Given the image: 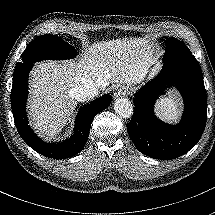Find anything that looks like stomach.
I'll use <instances>...</instances> for the list:
<instances>
[{
    "mask_svg": "<svg viewBox=\"0 0 215 215\" xmlns=\"http://www.w3.org/2000/svg\"><path fill=\"white\" fill-rule=\"evenodd\" d=\"M150 66H152V65H149L148 68H149ZM119 89L125 90L126 93H128L129 90H130V87L123 84V85L121 86V88H119ZM119 89H117V90H119Z\"/></svg>",
    "mask_w": 215,
    "mask_h": 215,
    "instance_id": "stomach-1",
    "label": "stomach"
}]
</instances>
